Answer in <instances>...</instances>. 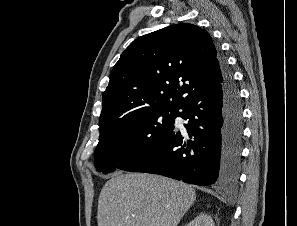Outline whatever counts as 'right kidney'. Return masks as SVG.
Returning a JSON list of instances; mask_svg holds the SVG:
<instances>
[{
	"label": "right kidney",
	"mask_w": 297,
	"mask_h": 226,
	"mask_svg": "<svg viewBox=\"0 0 297 226\" xmlns=\"http://www.w3.org/2000/svg\"><path fill=\"white\" fill-rule=\"evenodd\" d=\"M185 226H215V225L211 216L202 213Z\"/></svg>",
	"instance_id": "right-kidney-1"
}]
</instances>
